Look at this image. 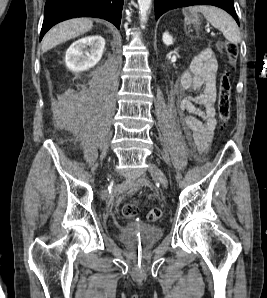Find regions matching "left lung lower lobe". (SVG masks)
Returning <instances> with one entry per match:
<instances>
[{"label": "left lung lower lobe", "instance_id": "left-lung-lower-lobe-1", "mask_svg": "<svg viewBox=\"0 0 267 298\" xmlns=\"http://www.w3.org/2000/svg\"><path fill=\"white\" fill-rule=\"evenodd\" d=\"M200 4L214 5L226 10L239 24L233 0H155V17L157 20L163 13L169 10Z\"/></svg>", "mask_w": 267, "mask_h": 298}]
</instances>
